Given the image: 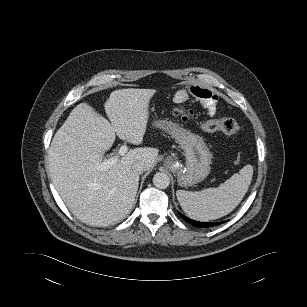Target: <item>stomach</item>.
Instances as JSON below:
<instances>
[{
    "label": "stomach",
    "instance_id": "stomach-1",
    "mask_svg": "<svg viewBox=\"0 0 307 307\" xmlns=\"http://www.w3.org/2000/svg\"><path fill=\"white\" fill-rule=\"evenodd\" d=\"M154 125L168 132L180 144L186 158V166L181 167L175 157L166 159V166L177 173L178 185L187 187L203 181L210 173L212 155L203 138L183 129L179 125L158 120Z\"/></svg>",
    "mask_w": 307,
    "mask_h": 307
}]
</instances>
